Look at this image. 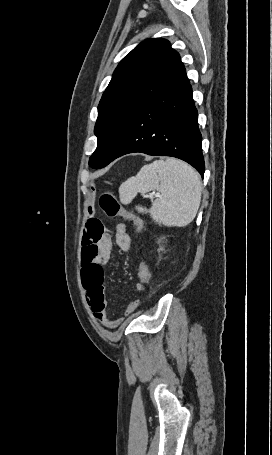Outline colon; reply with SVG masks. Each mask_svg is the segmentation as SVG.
<instances>
[{"instance_id":"colon-1","label":"colon","mask_w":272,"mask_h":455,"mask_svg":"<svg viewBox=\"0 0 272 455\" xmlns=\"http://www.w3.org/2000/svg\"><path fill=\"white\" fill-rule=\"evenodd\" d=\"M101 207L104 210V212L110 216H121L127 221H130L133 223L136 231H140L142 229V221L141 219L131 210H128L120 204V202L111 194H105L101 198ZM151 273L149 266L145 259H142L139 263V268H138V278L139 282L143 286H148V283L150 281Z\"/></svg>"}]
</instances>
